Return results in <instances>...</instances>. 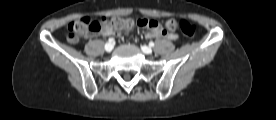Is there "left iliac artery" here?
Returning a JSON list of instances; mask_svg holds the SVG:
<instances>
[{
	"label": "left iliac artery",
	"mask_w": 276,
	"mask_h": 120,
	"mask_svg": "<svg viewBox=\"0 0 276 120\" xmlns=\"http://www.w3.org/2000/svg\"><path fill=\"white\" fill-rule=\"evenodd\" d=\"M149 46H150V47H153V46H154V42L151 41V42L149 43Z\"/></svg>",
	"instance_id": "44dca946"
}]
</instances>
